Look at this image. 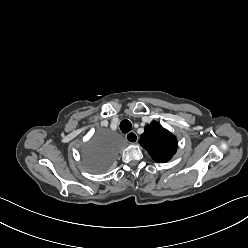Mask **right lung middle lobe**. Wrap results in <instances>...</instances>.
I'll use <instances>...</instances> for the list:
<instances>
[{
	"label": "right lung middle lobe",
	"mask_w": 248,
	"mask_h": 248,
	"mask_svg": "<svg viewBox=\"0 0 248 248\" xmlns=\"http://www.w3.org/2000/svg\"><path fill=\"white\" fill-rule=\"evenodd\" d=\"M82 155L86 162L87 170L98 173L108 167L111 151L103 142L95 141L82 147Z\"/></svg>",
	"instance_id": "right-lung-middle-lobe-1"
}]
</instances>
